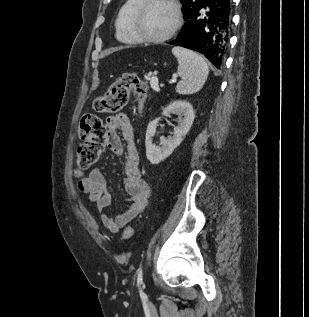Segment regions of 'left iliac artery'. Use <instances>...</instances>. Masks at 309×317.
Here are the masks:
<instances>
[{"mask_svg": "<svg viewBox=\"0 0 309 317\" xmlns=\"http://www.w3.org/2000/svg\"><path fill=\"white\" fill-rule=\"evenodd\" d=\"M143 270H142V267H140L138 269V275H137V285L140 286L143 284Z\"/></svg>", "mask_w": 309, "mask_h": 317, "instance_id": "44dca946", "label": "left iliac artery"}]
</instances>
